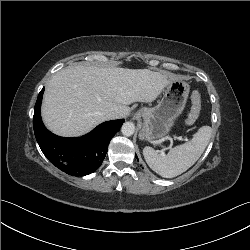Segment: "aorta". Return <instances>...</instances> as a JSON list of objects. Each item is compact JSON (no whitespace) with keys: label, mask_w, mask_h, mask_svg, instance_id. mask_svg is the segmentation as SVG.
<instances>
[{"label":"aorta","mask_w":250,"mask_h":250,"mask_svg":"<svg viewBox=\"0 0 250 250\" xmlns=\"http://www.w3.org/2000/svg\"><path fill=\"white\" fill-rule=\"evenodd\" d=\"M135 131V125L132 122H125L121 127V132L124 136H131Z\"/></svg>","instance_id":"762f6f07"}]
</instances>
